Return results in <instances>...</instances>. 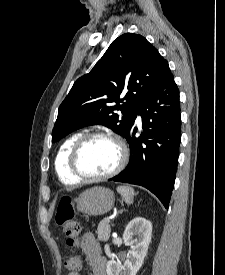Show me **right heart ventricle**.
Listing matches in <instances>:
<instances>
[{
	"label": "right heart ventricle",
	"instance_id": "right-heart-ventricle-1",
	"mask_svg": "<svg viewBox=\"0 0 225 275\" xmlns=\"http://www.w3.org/2000/svg\"><path fill=\"white\" fill-rule=\"evenodd\" d=\"M81 133H75L69 136L61 144L56 158H55V171L59 180L65 184H75L80 182L70 171L69 169V154L74 145V143L79 139Z\"/></svg>",
	"mask_w": 225,
	"mask_h": 275
}]
</instances>
